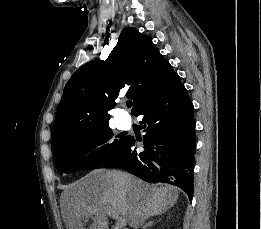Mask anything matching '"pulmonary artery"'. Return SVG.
I'll return each mask as SVG.
<instances>
[{"label": "pulmonary artery", "mask_w": 261, "mask_h": 229, "mask_svg": "<svg viewBox=\"0 0 261 229\" xmlns=\"http://www.w3.org/2000/svg\"><path fill=\"white\" fill-rule=\"evenodd\" d=\"M119 114H120V117H121V118H124V117L126 116L127 113H126L125 110L120 109V110H119Z\"/></svg>", "instance_id": "obj_1"}]
</instances>
